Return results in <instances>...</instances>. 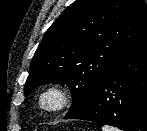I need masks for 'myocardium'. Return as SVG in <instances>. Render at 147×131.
<instances>
[{"instance_id":"myocardium-1","label":"myocardium","mask_w":147,"mask_h":131,"mask_svg":"<svg viewBox=\"0 0 147 131\" xmlns=\"http://www.w3.org/2000/svg\"><path fill=\"white\" fill-rule=\"evenodd\" d=\"M73 99L70 88L61 83L45 85L35 96L38 109L48 114L65 111L71 106Z\"/></svg>"}]
</instances>
